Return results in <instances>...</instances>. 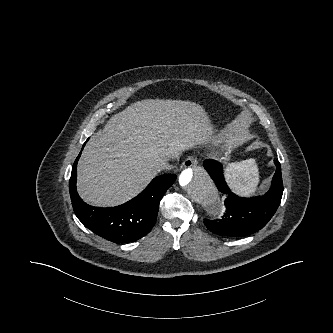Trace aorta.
<instances>
[{
	"label": "aorta",
	"mask_w": 333,
	"mask_h": 333,
	"mask_svg": "<svg viewBox=\"0 0 333 333\" xmlns=\"http://www.w3.org/2000/svg\"><path fill=\"white\" fill-rule=\"evenodd\" d=\"M186 197L201 207L211 220H217L225 211L222 197L213 180L201 167L187 168L178 178Z\"/></svg>",
	"instance_id": "obj_1"
}]
</instances>
